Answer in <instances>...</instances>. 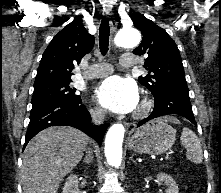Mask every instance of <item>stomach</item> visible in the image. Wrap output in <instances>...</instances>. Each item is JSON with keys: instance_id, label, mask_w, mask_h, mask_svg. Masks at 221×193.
I'll list each match as a JSON object with an SVG mask.
<instances>
[{"instance_id": "1", "label": "stomach", "mask_w": 221, "mask_h": 193, "mask_svg": "<svg viewBox=\"0 0 221 193\" xmlns=\"http://www.w3.org/2000/svg\"><path fill=\"white\" fill-rule=\"evenodd\" d=\"M176 140V131L164 119H155L137 129L129 138V148L152 155L168 151Z\"/></svg>"}]
</instances>
